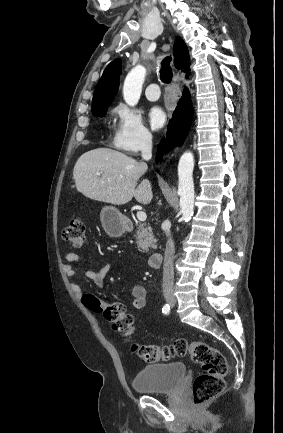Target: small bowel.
Segmentation results:
<instances>
[{
  "label": "small bowel",
  "mask_w": 283,
  "mask_h": 433,
  "mask_svg": "<svg viewBox=\"0 0 283 433\" xmlns=\"http://www.w3.org/2000/svg\"><path fill=\"white\" fill-rule=\"evenodd\" d=\"M63 259H64V271L67 277L74 278L77 273L78 269L76 267V264H82L85 261L83 258H81L79 255L72 253V252H64L63 253ZM111 266L108 263H100L96 268L86 270L84 271V275L93 282V284L98 288L102 289L104 285V280L107 277L108 273L110 272ZM71 288L74 293V295L78 298H81L83 296L82 289L80 286L73 282L71 283ZM146 289L144 286L140 284H136L133 286L131 290V306L133 309H143L146 305Z\"/></svg>",
  "instance_id": "small-bowel-1"
}]
</instances>
